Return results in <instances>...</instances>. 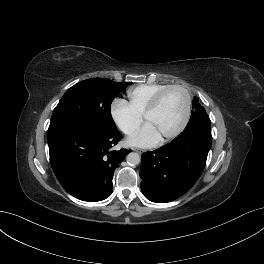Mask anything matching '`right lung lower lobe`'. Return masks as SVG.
<instances>
[{
    "mask_svg": "<svg viewBox=\"0 0 264 264\" xmlns=\"http://www.w3.org/2000/svg\"><path fill=\"white\" fill-rule=\"evenodd\" d=\"M121 138L114 128L69 130L48 139L50 162L65 190L88 202L109 197L114 171L130 152L110 150Z\"/></svg>",
    "mask_w": 264,
    "mask_h": 264,
    "instance_id": "98d812e1",
    "label": "right lung lower lobe"
}]
</instances>
